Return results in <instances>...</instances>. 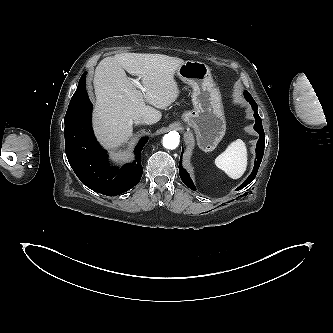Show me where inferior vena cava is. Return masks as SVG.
Here are the masks:
<instances>
[{"label":"inferior vena cava","mask_w":333,"mask_h":333,"mask_svg":"<svg viewBox=\"0 0 333 333\" xmlns=\"http://www.w3.org/2000/svg\"><path fill=\"white\" fill-rule=\"evenodd\" d=\"M135 124H151L150 120L146 117H138L134 120Z\"/></svg>","instance_id":"inferior-vena-cava-1"}]
</instances>
